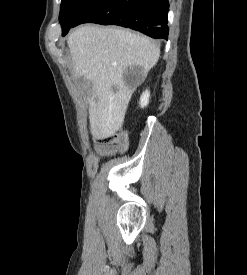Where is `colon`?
<instances>
[{
  "label": "colon",
  "instance_id": "5ec220e1",
  "mask_svg": "<svg viewBox=\"0 0 247 275\" xmlns=\"http://www.w3.org/2000/svg\"><path fill=\"white\" fill-rule=\"evenodd\" d=\"M98 142L104 145L112 143L125 144L127 142V136L123 132L118 131L112 135L100 138Z\"/></svg>",
  "mask_w": 247,
  "mask_h": 275
}]
</instances>
